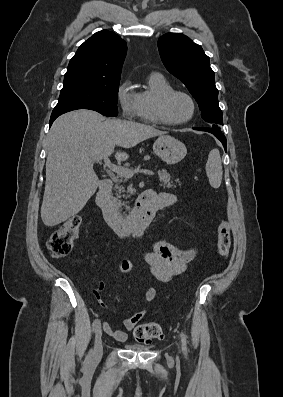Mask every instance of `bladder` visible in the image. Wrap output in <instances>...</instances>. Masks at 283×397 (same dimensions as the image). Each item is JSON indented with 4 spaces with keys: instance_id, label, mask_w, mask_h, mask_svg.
Instances as JSON below:
<instances>
[{
    "instance_id": "obj_1",
    "label": "bladder",
    "mask_w": 283,
    "mask_h": 397,
    "mask_svg": "<svg viewBox=\"0 0 283 397\" xmlns=\"http://www.w3.org/2000/svg\"><path fill=\"white\" fill-rule=\"evenodd\" d=\"M127 348L134 350V351H147L151 348V346L134 344V345H128Z\"/></svg>"
}]
</instances>
